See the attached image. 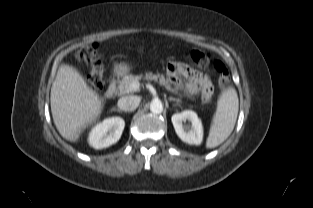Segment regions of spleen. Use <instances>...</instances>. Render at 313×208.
Wrapping results in <instances>:
<instances>
[{"mask_svg":"<svg viewBox=\"0 0 313 208\" xmlns=\"http://www.w3.org/2000/svg\"><path fill=\"white\" fill-rule=\"evenodd\" d=\"M239 109V100L234 88L225 91L218 100L214 123L206 141L207 148L223 143L232 133Z\"/></svg>","mask_w":313,"mask_h":208,"instance_id":"spleen-1","label":"spleen"}]
</instances>
